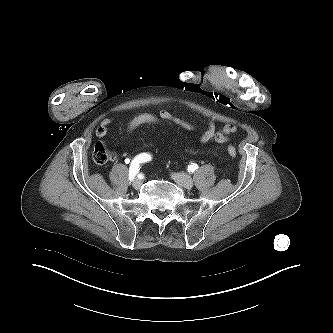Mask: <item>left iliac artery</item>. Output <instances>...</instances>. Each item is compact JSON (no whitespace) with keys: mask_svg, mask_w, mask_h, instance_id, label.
Listing matches in <instances>:
<instances>
[{"mask_svg":"<svg viewBox=\"0 0 333 333\" xmlns=\"http://www.w3.org/2000/svg\"><path fill=\"white\" fill-rule=\"evenodd\" d=\"M197 169H198V165L195 164V163H193L190 166H188V171H190V172H194Z\"/></svg>","mask_w":333,"mask_h":333,"instance_id":"left-iliac-artery-1","label":"left iliac artery"}]
</instances>
